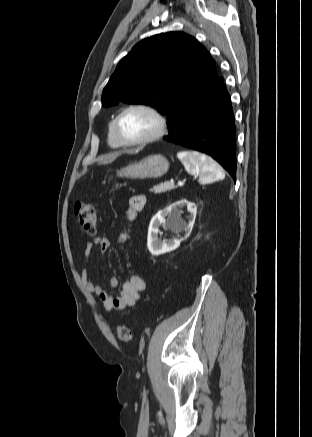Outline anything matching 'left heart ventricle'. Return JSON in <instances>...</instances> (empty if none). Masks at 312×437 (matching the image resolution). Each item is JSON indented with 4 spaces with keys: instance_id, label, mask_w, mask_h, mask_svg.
<instances>
[{
    "instance_id": "1",
    "label": "left heart ventricle",
    "mask_w": 312,
    "mask_h": 437,
    "mask_svg": "<svg viewBox=\"0 0 312 437\" xmlns=\"http://www.w3.org/2000/svg\"><path fill=\"white\" fill-rule=\"evenodd\" d=\"M157 127L155 118L144 110L127 112L120 123L124 136L129 140H138L151 135Z\"/></svg>"
}]
</instances>
